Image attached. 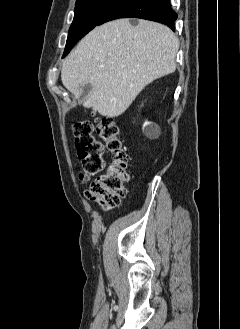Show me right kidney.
Wrapping results in <instances>:
<instances>
[{
	"instance_id": "right-kidney-1",
	"label": "right kidney",
	"mask_w": 240,
	"mask_h": 329,
	"mask_svg": "<svg viewBox=\"0 0 240 329\" xmlns=\"http://www.w3.org/2000/svg\"><path fill=\"white\" fill-rule=\"evenodd\" d=\"M143 131L147 135H152V134L156 133L157 131H159V127L155 123L145 122L143 125Z\"/></svg>"
}]
</instances>
